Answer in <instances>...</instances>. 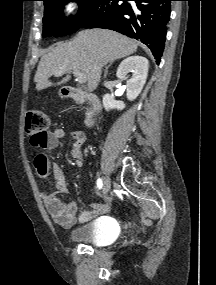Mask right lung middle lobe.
Masks as SVG:
<instances>
[{"label": "right lung middle lobe", "instance_id": "obj_1", "mask_svg": "<svg viewBox=\"0 0 216 285\" xmlns=\"http://www.w3.org/2000/svg\"><path fill=\"white\" fill-rule=\"evenodd\" d=\"M103 0H50L44 3L45 12L43 18V36H63L76 32L82 24L99 7ZM68 2H77L80 9L76 16L66 19L63 6Z\"/></svg>", "mask_w": 216, "mask_h": 285}]
</instances>
